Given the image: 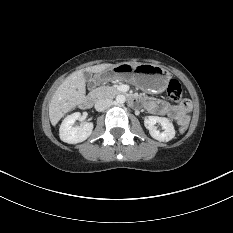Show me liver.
I'll return each instance as SVG.
<instances>
[{
    "label": "liver",
    "mask_w": 233,
    "mask_h": 233,
    "mask_svg": "<svg viewBox=\"0 0 233 233\" xmlns=\"http://www.w3.org/2000/svg\"><path fill=\"white\" fill-rule=\"evenodd\" d=\"M112 64H100L85 69L75 71L70 74L64 82L57 88L49 104V118L51 124L55 126L59 120L69 111L81 104L85 99L86 85L83 73H98Z\"/></svg>",
    "instance_id": "1"
}]
</instances>
